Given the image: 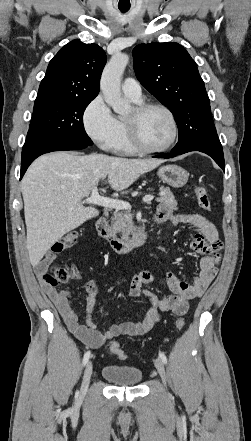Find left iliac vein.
Wrapping results in <instances>:
<instances>
[{
    "label": "left iliac vein",
    "mask_w": 251,
    "mask_h": 441,
    "mask_svg": "<svg viewBox=\"0 0 251 441\" xmlns=\"http://www.w3.org/2000/svg\"><path fill=\"white\" fill-rule=\"evenodd\" d=\"M154 364L163 383L166 384V371L163 362L161 361V359L157 358L154 360Z\"/></svg>",
    "instance_id": "1"
}]
</instances>
